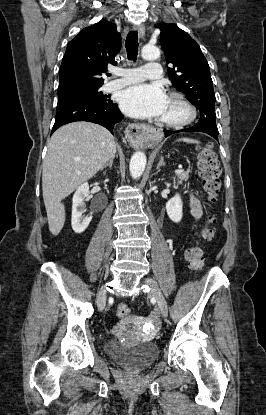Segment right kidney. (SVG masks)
I'll return each instance as SVG.
<instances>
[{
	"mask_svg": "<svg viewBox=\"0 0 266 415\" xmlns=\"http://www.w3.org/2000/svg\"><path fill=\"white\" fill-rule=\"evenodd\" d=\"M89 196V185L87 182L80 185L72 199V229L75 233H82L86 230L92 220V215L84 216L85 203L84 199Z\"/></svg>",
	"mask_w": 266,
	"mask_h": 415,
	"instance_id": "right-kidney-1",
	"label": "right kidney"
}]
</instances>
